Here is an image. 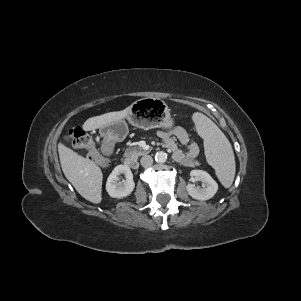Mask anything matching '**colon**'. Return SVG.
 Listing matches in <instances>:
<instances>
[{
    "label": "colon",
    "instance_id": "5ec220e1",
    "mask_svg": "<svg viewBox=\"0 0 301 301\" xmlns=\"http://www.w3.org/2000/svg\"><path fill=\"white\" fill-rule=\"evenodd\" d=\"M66 138L68 142L71 143L74 147L83 149L85 156L90 161L103 167L109 164L108 157L97 149L92 138L82 128H67Z\"/></svg>",
    "mask_w": 301,
    "mask_h": 301
}]
</instances>
